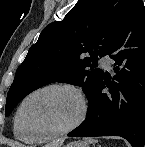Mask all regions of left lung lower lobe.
<instances>
[{
    "label": "left lung lower lobe",
    "instance_id": "left-lung-lower-lobe-1",
    "mask_svg": "<svg viewBox=\"0 0 145 147\" xmlns=\"http://www.w3.org/2000/svg\"><path fill=\"white\" fill-rule=\"evenodd\" d=\"M108 54L113 81L104 73L82 124L70 137L121 136L132 147L145 145V7L131 0L123 25ZM107 87L109 93H104Z\"/></svg>",
    "mask_w": 145,
    "mask_h": 147
}]
</instances>
